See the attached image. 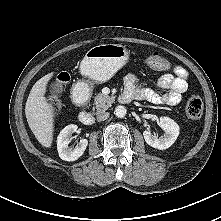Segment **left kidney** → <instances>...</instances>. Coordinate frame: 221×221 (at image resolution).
Returning a JSON list of instances; mask_svg holds the SVG:
<instances>
[{"label": "left kidney", "instance_id": "obj_1", "mask_svg": "<svg viewBox=\"0 0 221 221\" xmlns=\"http://www.w3.org/2000/svg\"><path fill=\"white\" fill-rule=\"evenodd\" d=\"M159 125L164 130L163 136L158 138L149 130H145L143 136L148 145L159 150H164L176 141L179 135V126L174 120L168 117H161Z\"/></svg>", "mask_w": 221, "mask_h": 221}]
</instances>
